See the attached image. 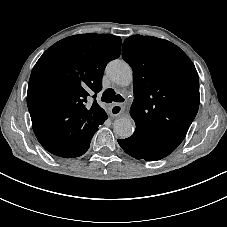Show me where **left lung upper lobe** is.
I'll use <instances>...</instances> for the list:
<instances>
[{"mask_svg":"<svg viewBox=\"0 0 227 227\" xmlns=\"http://www.w3.org/2000/svg\"><path fill=\"white\" fill-rule=\"evenodd\" d=\"M133 69L134 101L130 115L136 130L174 151L183 141L199 108V78L189 57L175 44L133 35L122 48Z\"/></svg>","mask_w":227,"mask_h":227,"instance_id":"obj_1","label":"left lung upper lobe"}]
</instances>
